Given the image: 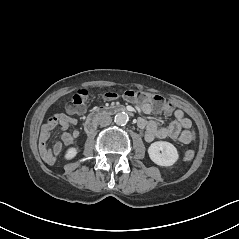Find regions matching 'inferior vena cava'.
<instances>
[{"label": "inferior vena cava", "mask_w": 239, "mask_h": 239, "mask_svg": "<svg viewBox=\"0 0 239 239\" xmlns=\"http://www.w3.org/2000/svg\"><path fill=\"white\" fill-rule=\"evenodd\" d=\"M111 122H112V118L108 114H104V115L100 116V118L98 120V123L103 127L110 125Z\"/></svg>", "instance_id": "602c4592"}]
</instances>
